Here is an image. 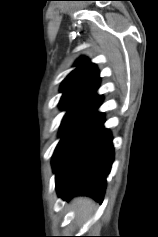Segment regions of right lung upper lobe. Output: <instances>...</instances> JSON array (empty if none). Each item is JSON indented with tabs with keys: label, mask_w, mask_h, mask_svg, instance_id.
Instances as JSON below:
<instances>
[{
	"label": "right lung upper lobe",
	"mask_w": 158,
	"mask_h": 237,
	"mask_svg": "<svg viewBox=\"0 0 158 237\" xmlns=\"http://www.w3.org/2000/svg\"><path fill=\"white\" fill-rule=\"evenodd\" d=\"M75 69L63 82L60 88L64 92L61 101L83 106L98 97L95 91L100 84L99 72L95 64L88 62L87 58L79 59Z\"/></svg>",
	"instance_id": "1"
}]
</instances>
